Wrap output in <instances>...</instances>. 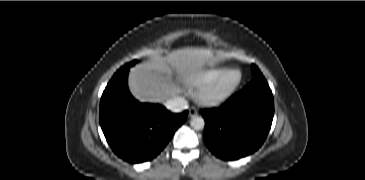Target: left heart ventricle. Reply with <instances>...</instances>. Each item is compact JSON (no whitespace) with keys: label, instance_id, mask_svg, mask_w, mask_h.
<instances>
[{"label":"left heart ventricle","instance_id":"left-heart-ventricle-1","mask_svg":"<svg viewBox=\"0 0 365 180\" xmlns=\"http://www.w3.org/2000/svg\"><path fill=\"white\" fill-rule=\"evenodd\" d=\"M237 77H238L237 73H232V74L227 75L224 79H222L218 83L216 89L218 91H223V90L227 89L229 86H231L237 80Z\"/></svg>","mask_w":365,"mask_h":180}]
</instances>
